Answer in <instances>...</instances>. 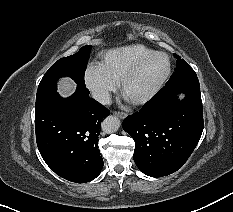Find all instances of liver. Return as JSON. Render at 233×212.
<instances>
[{"mask_svg":"<svg viewBox=\"0 0 233 212\" xmlns=\"http://www.w3.org/2000/svg\"><path fill=\"white\" fill-rule=\"evenodd\" d=\"M75 83L70 78H62L59 82V92L63 96L72 94L75 90Z\"/></svg>","mask_w":233,"mask_h":212,"instance_id":"6515ba94","label":"liver"}]
</instances>
